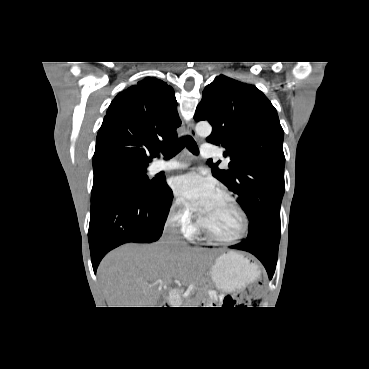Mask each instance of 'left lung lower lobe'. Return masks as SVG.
<instances>
[{"instance_id": "0a47b994", "label": "left lung lower lobe", "mask_w": 369, "mask_h": 369, "mask_svg": "<svg viewBox=\"0 0 369 369\" xmlns=\"http://www.w3.org/2000/svg\"><path fill=\"white\" fill-rule=\"evenodd\" d=\"M280 239L263 238L257 240H245L230 248L244 250L256 256L266 268L271 279L276 268L278 247Z\"/></svg>"}]
</instances>
